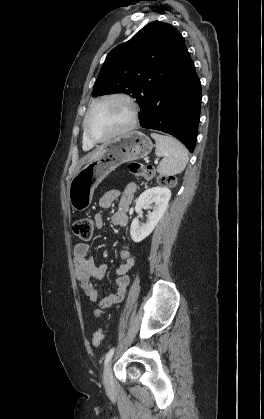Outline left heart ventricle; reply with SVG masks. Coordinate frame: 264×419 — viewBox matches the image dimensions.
Here are the masks:
<instances>
[{
    "instance_id": "left-heart-ventricle-1",
    "label": "left heart ventricle",
    "mask_w": 264,
    "mask_h": 419,
    "mask_svg": "<svg viewBox=\"0 0 264 419\" xmlns=\"http://www.w3.org/2000/svg\"><path fill=\"white\" fill-rule=\"evenodd\" d=\"M130 120V108L122 100L100 103L91 112L88 130L92 137L103 138L125 127Z\"/></svg>"
}]
</instances>
